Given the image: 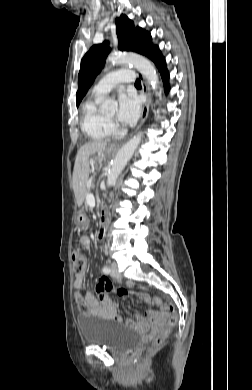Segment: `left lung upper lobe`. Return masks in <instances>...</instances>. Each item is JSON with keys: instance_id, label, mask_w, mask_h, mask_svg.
I'll return each instance as SVG.
<instances>
[{"instance_id": "5c2ea615", "label": "left lung upper lobe", "mask_w": 252, "mask_h": 390, "mask_svg": "<svg viewBox=\"0 0 252 390\" xmlns=\"http://www.w3.org/2000/svg\"><path fill=\"white\" fill-rule=\"evenodd\" d=\"M116 34L119 41L118 49L121 51H133L147 56L153 47L150 33L139 27L135 28L134 23L125 15L116 18ZM109 52L110 47L105 41L103 44L92 46L82 58L76 93L77 106L103 68Z\"/></svg>"}]
</instances>
